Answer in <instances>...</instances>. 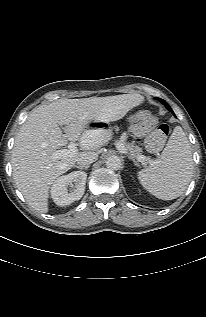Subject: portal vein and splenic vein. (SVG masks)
I'll use <instances>...</instances> for the list:
<instances>
[{
  "instance_id": "1",
  "label": "portal vein and splenic vein",
  "mask_w": 206,
  "mask_h": 317,
  "mask_svg": "<svg viewBox=\"0 0 206 317\" xmlns=\"http://www.w3.org/2000/svg\"><path fill=\"white\" fill-rule=\"evenodd\" d=\"M82 143H83V145L91 146L93 141L84 138L82 140ZM115 145H116L117 149L120 150L122 153H126V149L122 143L116 142ZM77 151H78L77 144L74 142H70L68 144V149H60V150L54 151L51 154V158L52 159H63V158H67V157H73L77 153ZM136 159L140 162L146 161V157L143 155L137 156Z\"/></svg>"
}]
</instances>
